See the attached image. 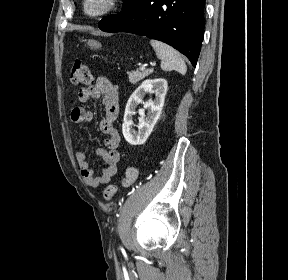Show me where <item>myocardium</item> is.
Listing matches in <instances>:
<instances>
[{"instance_id":"myocardium-1","label":"myocardium","mask_w":288,"mask_h":280,"mask_svg":"<svg viewBox=\"0 0 288 280\" xmlns=\"http://www.w3.org/2000/svg\"><path fill=\"white\" fill-rule=\"evenodd\" d=\"M120 2L121 0H82L81 8L86 17L99 18L113 12Z\"/></svg>"}]
</instances>
